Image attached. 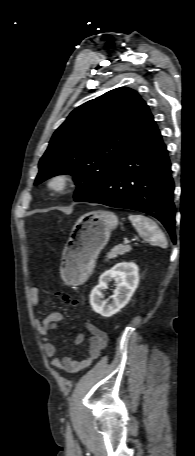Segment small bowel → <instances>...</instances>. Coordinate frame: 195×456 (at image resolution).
Returning a JSON list of instances; mask_svg holds the SVG:
<instances>
[{"instance_id": "c3829d8e", "label": "small bowel", "mask_w": 195, "mask_h": 456, "mask_svg": "<svg viewBox=\"0 0 195 456\" xmlns=\"http://www.w3.org/2000/svg\"><path fill=\"white\" fill-rule=\"evenodd\" d=\"M31 302L34 306L39 304V289L36 286H31L29 289ZM65 318L60 312H52L43 320L36 322L37 329L43 339V347L49 358L52 359V364L69 373H76L87 366L97 358L100 352L104 349L107 343V335L98 326L93 323L87 324V329L90 337L87 344V349L81 358H71L69 356H59L56 354L54 342L50 339L49 334L59 327V324L64 322ZM84 341V335L79 334L76 337L75 343L80 345Z\"/></svg>"}]
</instances>
